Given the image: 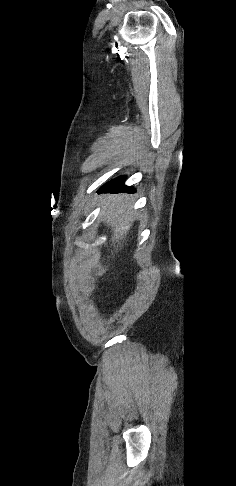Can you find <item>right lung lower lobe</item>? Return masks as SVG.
<instances>
[{"mask_svg":"<svg viewBox=\"0 0 236 486\" xmlns=\"http://www.w3.org/2000/svg\"><path fill=\"white\" fill-rule=\"evenodd\" d=\"M125 179H126L125 176H121V177H118V178L106 183L105 185H103L100 188L98 193H101V192H123V191L134 192L135 190L132 187H127V186L124 185Z\"/></svg>","mask_w":236,"mask_h":486,"instance_id":"1","label":"right lung lower lobe"}]
</instances>
